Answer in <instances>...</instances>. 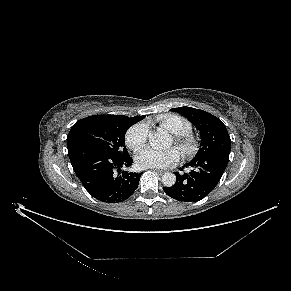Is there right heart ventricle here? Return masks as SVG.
<instances>
[{
    "label": "right heart ventricle",
    "instance_id": "1",
    "mask_svg": "<svg viewBox=\"0 0 291 291\" xmlns=\"http://www.w3.org/2000/svg\"><path fill=\"white\" fill-rule=\"evenodd\" d=\"M157 122L172 134H183L191 129V123L177 114H166L157 117Z\"/></svg>",
    "mask_w": 291,
    "mask_h": 291
}]
</instances>
